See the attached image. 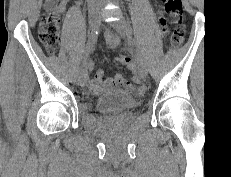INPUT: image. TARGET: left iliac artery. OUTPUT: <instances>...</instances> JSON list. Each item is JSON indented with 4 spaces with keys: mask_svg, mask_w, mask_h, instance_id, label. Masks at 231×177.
Masks as SVG:
<instances>
[{
    "mask_svg": "<svg viewBox=\"0 0 231 177\" xmlns=\"http://www.w3.org/2000/svg\"><path fill=\"white\" fill-rule=\"evenodd\" d=\"M127 25H128L129 33L132 34V27H131L129 21H127ZM133 45H134V46H137V45H138V42H137V41H134V42H133Z\"/></svg>",
    "mask_w": 231,
    "mask_h": 177,
    "instance_id": "left-iliac-artery-1",
    "label": "left iliac artery"
}]
</instances>
